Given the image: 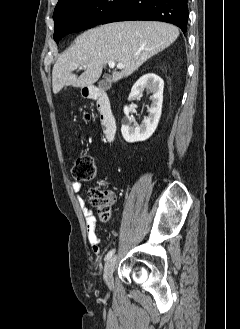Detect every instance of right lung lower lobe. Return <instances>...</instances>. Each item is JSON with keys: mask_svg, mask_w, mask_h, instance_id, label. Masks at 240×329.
I'll return each instance as SVG.
<instances>
[{"mask_svg": "<svg viewBox=\"0 0 240 329\" xmlns=\"http://www.w3.org/2000/svg\"><path fill=\"white\" fill-rule=\"evenodd\" d=\"M126 20H155L172 23L187 31V0H125L100 24Z\"/></svg>", "mask_w": 240, "mask_h": 329, "instance_id": "98d812e1", "label": "right lung lower lobe"}]
</instances>
